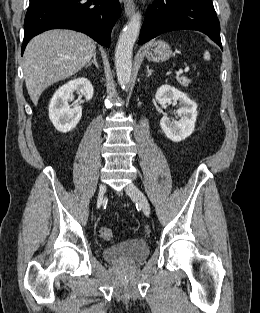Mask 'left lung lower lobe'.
<instances>
[{"instance_id":"1","label":"left lung lower lobe","mask_w":260,"mask_h":313,"mask_svg":"<svg viewBox=\"0 0 260 313\" xmlns=\"http://www.w3.org/2000/svg\"><path fill=\"white\" fill-rule=\"evenodd\" d=\"M180 29L201 31L222 48L220 24L212 0H155L146 12L138 44Z\"/></svg>"}]
</instances>
